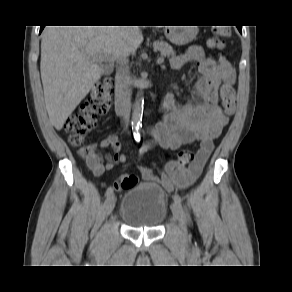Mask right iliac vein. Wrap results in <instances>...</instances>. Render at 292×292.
Instances as JSON below:
<instances>
[{
  "label": "right iliac vein",
  "instance_id": "obj_1",
  "mask_svg": "<svg viewBox=\"0 0 292 292\" xmlns=\"http://www.w3.org/2000/svg\"><path fill=\"white\" fill-rule=\"evenodd\" d=\"M115 203H116V197L115 195H110L104 205V215L107 217L108 215L111 214V212L113 211L114 207H115Z\"/></svg>",
  "mask_w": 292,
  "mask_h": 292
}]
</instances>
